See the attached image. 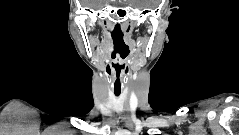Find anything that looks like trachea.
Listing matches in <instances>:
<instances>
[{
  "mask_svg": "<svg viewBox=\"0 0 239 135\" xmlns=\"http://www.w3.org/2000/svg\"><path fill=\"white\" fill-rule=\"evenodd\" d=\"M115 95H116V96H119V95H120V93H115Z\"/></svg>",
  "mask_w": 239,
  "mask_h": 135,
  "instance_id": "obj_1",
  "label": "trachea"
}]
</instances>
